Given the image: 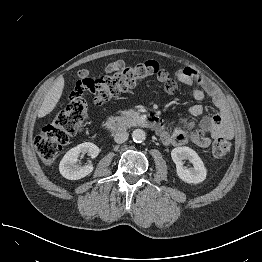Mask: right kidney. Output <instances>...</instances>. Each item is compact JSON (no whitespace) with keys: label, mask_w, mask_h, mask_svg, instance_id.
<instances>
[{"label":"right kidney","mask_w":262,"mask_h":262,"mask_svg":"<svg viewBox=\"0 0 262 262\" xmlns=\"http://www.w3.org/2000/svg\"><path fill=\"white\" fill-rule=\"evenodd\" d=\"M99 148L90 142L79 144L70 149L59 164V171L63 177L69 180H78L89 175L93 171L92 165L79 166L76 164L80 154H88L92 158L98 156Z\"/></svg>","instance_id":"obj_1"}]
</instances>
